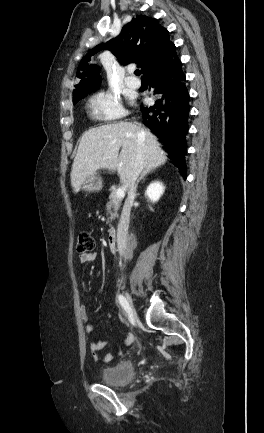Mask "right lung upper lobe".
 Instances as JSON below:
<instances>
[{"mask_svg":"<svg viewBox=\"0 0 264 433\" xmlns=\"http://www.w3.org/2000/svg\"><path fill=\"white\" fill-rule=\"evenodd\" d=\"M101 49L110 50L122 64L137 61L144 76L176 55V47L169 40V32L156 19L136 16L124 26L119 36L97 46L83 58L76 74L80 82L75 85L73 101L100 85V68L88 62Z\"/></svg>","mask_w":264,"mask_h":433,"instance_id":"cb5924a9","label":"right lung upper lobe"}]
</instances>
